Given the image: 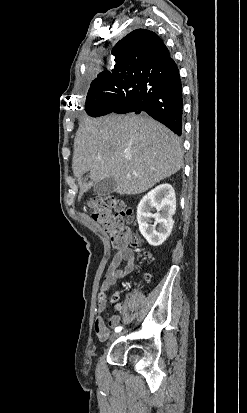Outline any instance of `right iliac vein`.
Returning <instances> with one entry per match:
<instances>
[{"label": "right iliac vein", "mask_w": 247, "mask_h": 413, "mask_svg": "<svg viewBox=\"0 0 247 413\" xmlns=\"http://www.w3.org/2000/svg\"><path fill=\"white\" fill-rule=\"evenodd\" d=\"M118 337H120V334H114L111 336V341L117 339Z\"/></svg>", "instance_id": "63e3f726"}]
</instances>
